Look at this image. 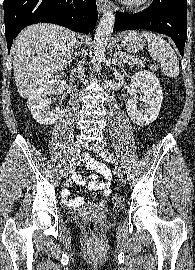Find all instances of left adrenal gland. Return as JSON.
<instances>
[{
	"label": "left adrenal gland",
	"instance_id": "a2214340",
	"mask_svg": "<svg viewBox=\"0 0 195 270\" xmlns=\"http://www.w3.org/2000/svg\"><path fill=\"white\" fill-rule=\"evenodd\" d=\"M113 62L117 63V65L121 66V62L118 61V58H117V53L114 55Z\"/></svg>",
	"mask_w": 195,
	"mask_h": 270
}]
</instances>
